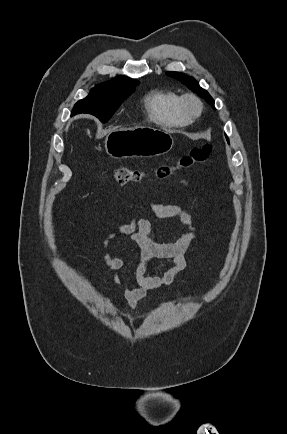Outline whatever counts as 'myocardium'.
<instances>
[{
    "label": "myocardium",
    "mask_w": 287,
    "mask_h": 434,
    "mask_svg": "<svg viewBox=\"0 0 287 434\" xmlns=\"http://www.w3.org/2000/svg\"><path fill=\"white\" fill-rule=\"evenodd\" d=\"M180 108L189 119H193L201 114L202 103L197 96L187 94L180 98Z\"/></svg>",
    "instance_id": "obj_1"
}]
</instances>
